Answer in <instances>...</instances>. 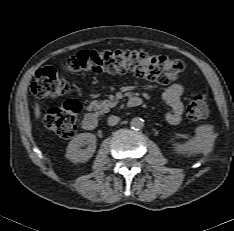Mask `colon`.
<instances>
[{
	"label": "colon",
	"instance_id": "colon-1",
	"mask_svg": "<svg viewBox=\"0 0 234 231\" xmlns=\"http://www.w3.org/2000/svg\"><path fill=\"white\" fill-rule=\"evenodd\" d=\"M69 72L121 74L132 72L136 76L170 83L184 70V63L179 59L155 56L140 51L106 50L81 51L71 56L66 62ZM32 93L39 98H55L71 91L70 84L59 78L53 68L39 69L32 84ZM81 104L77 100H68L52 108L44 118L45 127L64 139L72 138L77 128ZM187 115L192 121H202L208 115L206 97L195 94L188 105Z\"/></svg>",
	"mask_w": 234,
	"mask_h": 231
}]
</instances>
